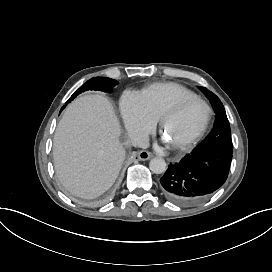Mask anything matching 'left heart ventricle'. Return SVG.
I'll return each mask as SVG.
<instances>
[{
    "instance_id": "1",
    "label": "left heart ventricle",
    "mask_w": 272,
    "mask_h": 272,
    "mask_svg": "<svg viewBox=\"0 0 272 272\" xmlns=\"http://www.w3.org/2000/svg\"><path fill=\"white\" fill-rule=\"evenodd\" d=\"M203 118V109L199 105H191L184 111L168 115L166 128L171 135L183 142L200 125Z\"/></svg>"
}]
</instances>
